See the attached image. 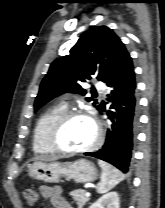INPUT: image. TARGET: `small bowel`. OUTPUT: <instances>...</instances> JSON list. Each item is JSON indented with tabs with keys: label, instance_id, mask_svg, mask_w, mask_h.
<instances>
[{
	"label": "small bowel",
	"instance_id": "c3829d8e",
	"mask_svg": "<svg viewBox=\"0 0 165 208\" xmlns=\"http://www.w3.org/2000/svg\"><path fill=\"white\" fill-rule=\"evenodd\" d=\"M40 193L43 198L52 202L54 208H73L63 196L59 186H41Z\"/></svg>",
	"mask_w": 165,
	"mask_h": 208
}]
</instances>
